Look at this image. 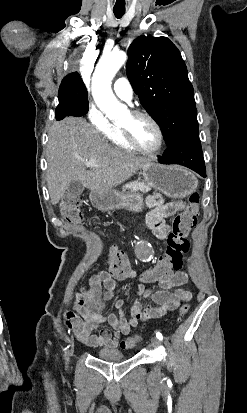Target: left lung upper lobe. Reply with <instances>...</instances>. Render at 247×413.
<instances>
[{"mask_svg":"<svg viewBox=\"0 0 247 413\" xmlns=\"http://www.w3.org/2000/svg\"><path fill=\"white\" fill-rule=\"evenodd\" d=\"M127 76L165 142L199 138L193 86L177 47L166 37L140 36L128 48Z\"/></svg>","mask_w":247,"mask_h":413,"instance_id":"5c2ea615","label":"left lung upper lobe"}]
</instances>
